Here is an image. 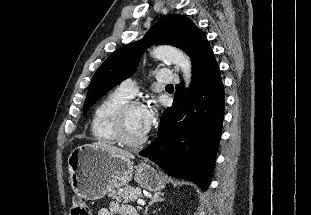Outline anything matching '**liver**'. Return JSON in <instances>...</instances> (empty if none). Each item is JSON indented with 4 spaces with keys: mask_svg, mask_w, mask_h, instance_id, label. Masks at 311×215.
Segmentation results:
<instances>
[{
    "mask_svg": "<svg viewBox=\"0 0 311 215\" xmlns=\"http://www.w3.org/2000/svg\"><path fill=\"white\" fill-rule=\"evenodd\" d=\"M92 145L99 147V148H102L103 150L109 152L112 155H120L122 157H126L129 159L134 158L133 154H131L130 152L123 150V149H120L116 146L107 144L105 142H93Z\"/></svg>",
    "mask_w": 311,
    "mask_h": 215,
    "instance_id": "liver-1",
    "label": "liver"
}]
</instances>
